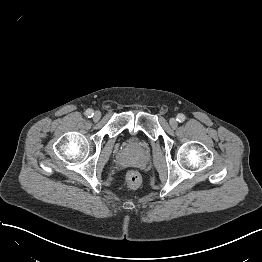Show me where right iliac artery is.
<instances>
[{
	"label": "right iliac artery",
	"instance_id": "82829eb1",
	"mask_svg": "<svg viewBox=\"0 0 262 262\" xmlns=\"http://www.w3.org/2000/svg\"><path fill=\"white\" fill-rule=\"evenodd\" d=\"M85 115H86L88 118H91V117L94 115L93 110H92V109L86 110Z\"/></svg>",
	"mask_w": 262,
	"mask_h": 262
}]
</instances>
